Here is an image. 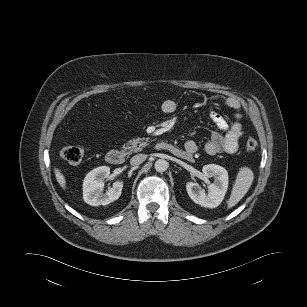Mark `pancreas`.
<instances>
[{
  "mask_svg": "<svg viewBox=\"0 0 307 307\" xmlns=\"http://www.w3.org/2000/svg\"><path fill=\"white\" fill-rule=\"evenodd\" d=\"M148 143V138H136L130 140L126 145H123L124 150H128L127 154L141 151Z\"/></svg>",
  "mask_w": 307,
  "mask_h": 307,
  "instance_id": "cf45deb5",
  "label": "pancreas"
}]
</instances>
